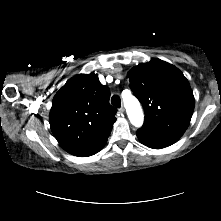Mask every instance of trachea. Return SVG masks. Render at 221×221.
<instances>
[{
    "instance_id": "obj_1",
    "label": "trachea",
    "mask_w": 221,
    "mask_h": 221,
    "mask_svg": "<svg viewBox=\"0 0 221 221\" xmlns=\"http://www.w3.org/2000/svg\"><path fill=\"white\" fill-rule=\"evenodd\" d=\"M111 103H112L114 106H116L117 108H120V106H121V100H120L119 96L114 95V96L112 97V99H111Z\"/></svg>"
}]
</instances>
